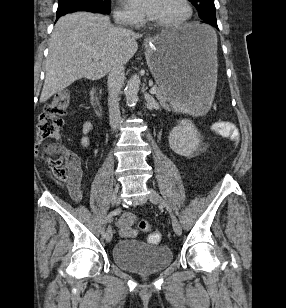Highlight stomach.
<instances>
[{"label": "stomach", "instance_id": "obj_1", "mask_svg": "<svg viewBox=\"0 0 286 308\" xmlns=\"http://www.w3.org/2000/svg\"><path fill=\"white\" fill-rule=\"evenodd\" d=\"M148 66L176 107H208L217 81V36L205 24L190 23L145 43Z\"/></svg>", "mask_w": 286, "mask_h": 308}]
</instances>
